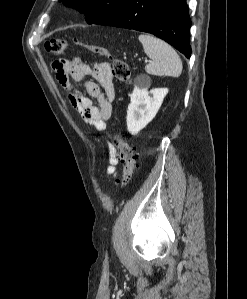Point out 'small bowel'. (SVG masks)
<instances>
[{"label":"small bowel","mask_w":247,"mask_h":299,"mask_svg":"<svg viewBox=\"0 0 247 299\" xmlns=\"http://www.w3.org/2000/svg\"><path fill=\"white\" fill-rule=\"evenodd\" d=\"M52 67L58 82L68 91V98L73 108L81 114L87 124L103 132L107 121L112 116V103L115 99V86L110 73V64L94 62L90 65L79 59H59L53 63ZM87 76H92L95 81L86 80ZM72 81L83 85L89 97L83 95ZM90 97L95 98L98 104L95 105ZM117 164L116 149L109 144L107 167L109 175H115Z\"/></svg>","instance_id":"c3829d8e"}]
</instances>
